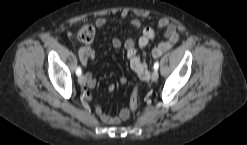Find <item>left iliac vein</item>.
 <instances>
[{"mask_svg":"<svg viewBox=\"0 0 247 145\" xmlns=\"http://www.w3.org/2000/svg\"><path fill=\"white\" fill-rule=\"evenodd\" d=\"M158 77H159L158 71H157V70H154V71L152 72V75H151V80H152L153 82H155V81H157Z\"/></svg>","mask_w":247,"mask_h":145,"instance_id":"obj_1","label":"left iliac vein"}]
</instances>
